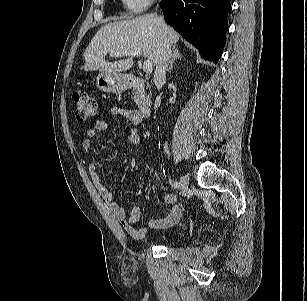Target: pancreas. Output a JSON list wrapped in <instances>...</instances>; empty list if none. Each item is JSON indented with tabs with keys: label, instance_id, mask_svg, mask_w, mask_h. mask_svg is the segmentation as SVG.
Returning <instances> with one entry per match:
<instances>
[{
	"label": "pancreas",
	"instance_id": "obj_1",
	"mask_svg": "<svg viewBox=\"0 0 307 301\" xmlns=\"http://www.w3.org/2000/svg\"><path fill=\"white\" fill-rule=\"evenodd\" d=\"M137 92H136V90H134V93H133V95H134V99H137Z\"/></svg>",
	"mask_w": 307,
	"mask_h": 301
}]
</instances>
